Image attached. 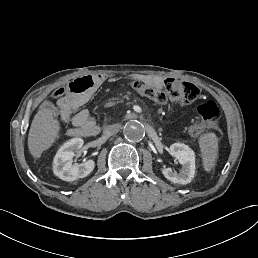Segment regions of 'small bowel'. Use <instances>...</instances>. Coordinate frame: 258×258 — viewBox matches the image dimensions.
I'll return each mask as SVG.
<instances>
[{"instance_id": "small-bowel-1", "label": "small bowel", "mask_w": 258, "mask_h": 258, "mask_svg": "<svg viewBox=\"0 0 258 258\" xmlns=\"http://www.w3.org/2000/svg\"><path fill=\"white\" fill-rule=\"evenodd\" d=\"M71 89L58 100L61 119L70 122L88 136L98 132V124L87 109H81L99 89L101 83L93 76L79 77L69 84Z\"/></svg>"}]
</instances>
